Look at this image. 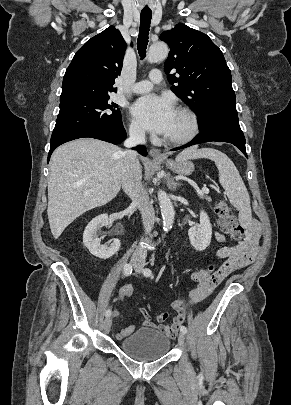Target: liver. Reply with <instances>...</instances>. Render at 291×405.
Masks as SVG:
<instances>
[{"label":"liver","instance_id":"1","mask_svg":"<svg viewBox=\"0 0 291 405\" xmlns=\"http://www.w3.org/2000/svg\"><path fill=\"white\" fill-rule=\"evenodd\" d=\"M122 163L118 146L92 138L68 142L54 151L47 209L54 238L77 217L117 196L122 185Z\"/></svg>","mask_w":291,"mask_h":405}]
</instances>
